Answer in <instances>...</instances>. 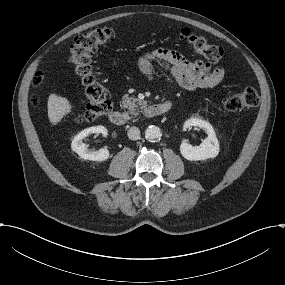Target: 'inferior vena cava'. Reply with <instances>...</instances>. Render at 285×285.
Instances as JSON below:
<instances>
[{
  "label": "inferior vena cava",
  "mask_w": 285,
  "mask_h": 285,
  "mask_svg": "<svg viewBox=\"0 0 285 285\" xmlns=\"http://www.w3.org/2000/svg\"><path fill=\"white\" fill-rule=\"evenodd\" d=\"M128 138L131 140H138L140 138V130L137 127H131L128 130Z\"/></svg>",
  "instance_id": "inferior-vena-cava-1"
}]
</instances>
